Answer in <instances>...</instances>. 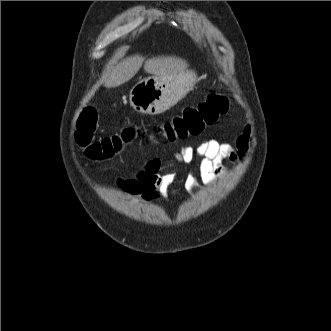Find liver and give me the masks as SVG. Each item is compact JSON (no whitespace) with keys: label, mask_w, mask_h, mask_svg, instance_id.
I'll list each match as a JSON object with an SVG mask.
<instances>
[{"label":"liver","mask_w":331,"mask_h":331,"mask_svg":"<svg viewBox=\"0 0 331 331\" xmlns=\"http://www.w3.org/2000/svg\"><path fill=\"white\" fill-rule=\"evenodd\" d=\"M144 58L140 55L126 57L115 66H110L102 76V83L107 88H114L128 82L142 67ZM188 64L176 56H158L148 59L144 63V70L148 74L162 78H171L185 72Z\"/></svg>","instance_id":"obj_1"}]
</instances>
